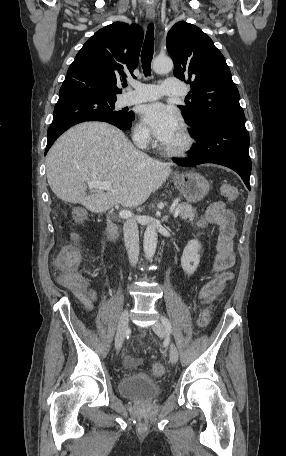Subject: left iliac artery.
Instances as JSON below:
<instances>
[{"instance_id":"obj_1","label":"left iliac artery","mask_w":286,"mask_h":456,"mask_svg":"<svg viewBox=\"0 0 286 456\" xmlns=\"http://www.w3.org/2000/svg\"><path fill=\"white\" fill-rule=\"evenodd\" d=\"M161 321H162V323H163V325H164L166 331H167L168 333H171V332H172V326H171L170 321H169L166 317H162V318H161Z\"/></svg>"}]
</instances>
